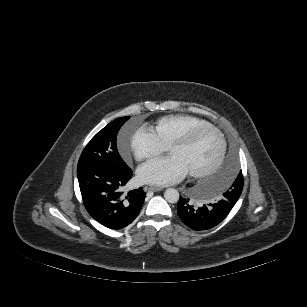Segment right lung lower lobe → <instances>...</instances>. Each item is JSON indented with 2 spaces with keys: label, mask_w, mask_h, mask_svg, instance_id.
Returning a JSON list of instances; mask_svg holds the SVG:
<instances>
[{
  "label": "right lung lower lobe",
  "mask_w": 307,
  "mask_h": 307,
  "mask_svg": "<svg viewBox=\"0 0 307 307\" xmlns=\"http://www.w3.org/2000/svg\"><path fill=\"white\" fill-rule=\"evenodd\" d=\"M132 176L131 169L115 172L103 168H89L78 172L84 206L100 224L121 229L139 214L145 199L142 188L127 194L121 192Z\"/></svg>",
  "instance_id": "98d812e1"
}]
</instances>
